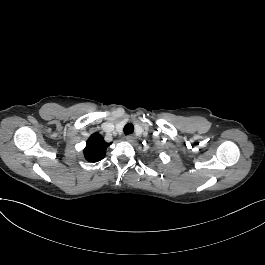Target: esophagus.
I'll use <instances>...</instances> for the list:
<instances>
[{
    "label": "esophagus",
    "mask_w": 265,
    "mask_h": 265,
    "mask_svg": "<svg viewBox=\"0 0 265 265\" xmlns=\"http://www.w3.org/2000/svg\"><path fill=\"white\" fill-rule=\"evenodd\" d=\"M126 140L128 141V142H130V143H134V142H136L137 141V137L135 136V135H128L127 137H126Z\"/></svg>",
    "instance_id": "34e87169"
}]
</instances>
